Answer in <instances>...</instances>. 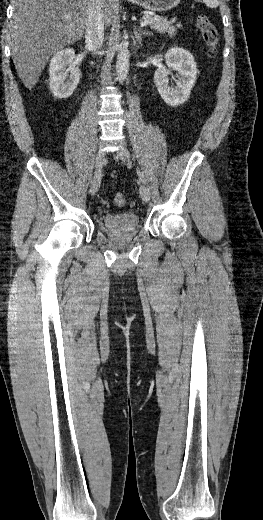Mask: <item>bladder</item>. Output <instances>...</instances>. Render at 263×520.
<instances>
[{
    "label": "bladder",
    "instance_id": "31cf9c89",
    "mask_svg": "<svg viewBox=\"0 0 263 520\" xmlns=\"http://www.w3.org/2000/svg\"><path fill=\"white\" fill-rule=\"evenodd\" d=\"M103 226L113 233L135 231L140 227V216L136 213L106 214L102 218Z\"/></svg>",
    "mask_w": 263,
    "mask_h": 520
}]
</instances>
